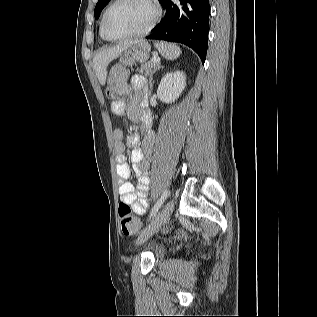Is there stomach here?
<instances>
[{"label": "stomach", "mask_w": 317, "mask_h": 317, "mask_svg": "<svg viewBox=\"0 0 317 317\" xmlns=\"http://www.w3.org/2000/svg\"><path fill=\"white\" fill-rule=\"evenodd\" d=\"M150 45L147 42H136L126 49L118 59V63H114L115 68L133 69V66H145L150 53Z\"/></svg>", "instance_id": "obj_1"}]
</instances>
